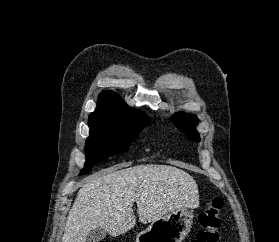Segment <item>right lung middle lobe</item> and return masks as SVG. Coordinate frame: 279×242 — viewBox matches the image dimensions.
Instances as JSON below:
<instances>
[{
  "instance_id": "1",
  "label": "right lung middle lobe",
  "mask_w": 279,
  "mask_h": 242,
  "mask_svg": "<svg viewBox=\"0 0 279 242\" xmlns=\"http://www.w3.org/2000/svg\"><path fill=\"white\" fill-rule=\"evenodd\" d=\"M148 123L117 125L106 121H89L90 136L86 140V162L81 174L90 172L94 164L110 155L128 151L130 142Z\"/></svg>"
}]
</instances>
